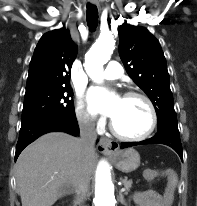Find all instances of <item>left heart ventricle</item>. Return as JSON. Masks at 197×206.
<instances>
[{"instance_id": "left-heart-ventricle-1", "label": "left heart ventricle", "mask_w": 197, "mask_h": 206, "mask_svg": "<svg viewBox=\"0 0 197 206\" xmlns=\"http://www.w3.org/2000/svg\"><path fill=\"white\" fill-rule=\"evenodd\" d=\"M112 120L120 132L140 135L150 125V112L145 102L139 98H120Z\"/></svg>"}]
</instances>
